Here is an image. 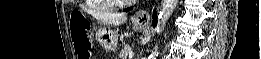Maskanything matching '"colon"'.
Returning a JSON list of instances; mask_svg holds the SVG:
<instances>
[{
	"mask_svg": "<svg viewBox=\"0 0 261 59\" xmlns=\"http://www.w3.org/2000/svg\"><path fill=\"white\" fill-rule=\"evenodd\" d=\"M73 46L79 59H89L91 57V39L89 31L82 21L73 18L70 22Z\"/></svg>",
	"mask_w": 261,
	"mask_h": 59,
	"instance_id": "obj_1",
	"label": "colon"
}]
</instances>
